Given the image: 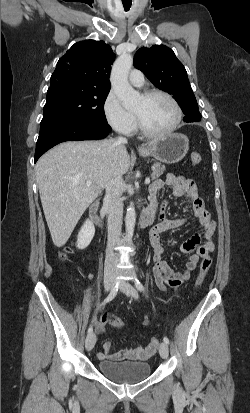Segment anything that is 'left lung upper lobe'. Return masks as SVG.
<instances>
[{"label": "left lung upper lobe", "instance_id": "5c2ea615", "mask_svg": "<svg viewBox=\"0 0 250 413\" xmlns=\"http://www.w3.org/2000/svg\"><path fill=\"white\" fill-rule=\"evenodd\" d=\"M134 66L156 87L172 94L186 116L201 117L186 69L170 48L165 45L140 48Z\"/></svg>", "mask_w": 250, "mask_h": 413}]
</instances>
